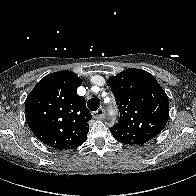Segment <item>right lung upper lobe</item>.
<instances>
[{"label": "right lung upper lobe", "instance_id": "obj_1", "mask_svg": "<svg viewBox=\"0 0 196 196\" xmlns=\"http://www.w3.org/2000/svg\"><path fill=\"white\" fill-rule=\"evenodd\" d=\"M81 81L72 71L55 72L41 79L28 95L26 121L44 144L63 150L86 141L92 116L76 92Z\"/></svg>", "mask_w": 196, "mask_h": 196}]
</instances>
